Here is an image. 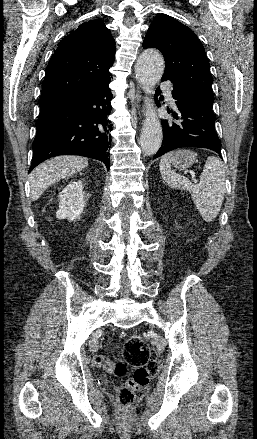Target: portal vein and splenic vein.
<instances>
[{
    "label": "portal vein and splenic vein",
    "instance_id": "18ae733b",
    "mask_svg": "<svg viewBox=\"0 0 257 439\" xmlns=\"http://www.w3.org/2000/svg\"><path fill=\"white\" fill-rule=\"evenodd\" d=\"M192 180H193V182H194V183H197V180H196V179H195L194 177H193V179H192Z\"/></svg>",
    "mask_w": 257,
    "mask_h": 439
}]
</instances>
